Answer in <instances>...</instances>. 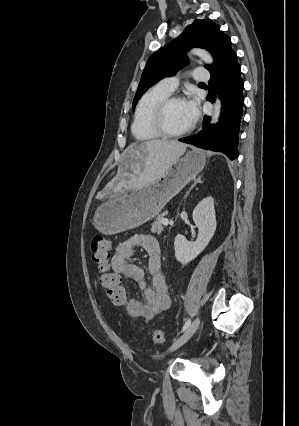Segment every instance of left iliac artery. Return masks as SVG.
Segmentation results:
<instances>
[{"mask_svg": "<svg viewBox=\"0 0 299 426\" xmlns=\"http://www.w3.org/2000/svg\"><path fill=\"white\" fill-rule=\"evenodd\" d=\"M190 323H191V320H190V319H188V320L185 322V324H184V326H183V328H182V332H184V331H185V330L189 327Z\"/></svg>", "mask_w": 299, "mask_h": 426, "instance_id": "1", "label": "left iliac artery"}]
</instances>
